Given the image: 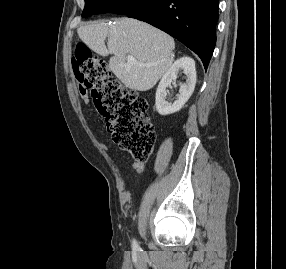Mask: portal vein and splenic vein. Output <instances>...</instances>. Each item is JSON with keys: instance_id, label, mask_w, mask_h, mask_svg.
Returning <instances> with one entry per match:
<instances>
[{"instance_id": "18ae733b", "label": "portal vein and splenic vein", "mask_w": 286, "mask_h": 269, "mask_svg": "<svg viewBox=\"0 0 286 269\" xmlns=\"http://www.w3.org/2000/svg\"><path fill=\"white\" fill-rule=\"evenodd\" d=\"M127 61L130 64H136L137 63L136 59L133 56H131V55L127 56Z\"/></svg>"}]
</instances>
